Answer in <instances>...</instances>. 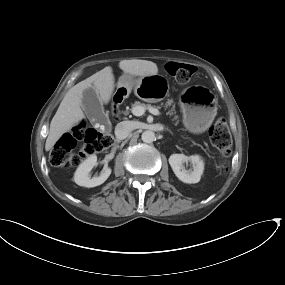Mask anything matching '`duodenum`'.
I'll return each mask as SVG.
<instances>
[{
  "mask_svg": "<svg viewBox=\"0 0 285 285\" xmlns=\"http://www.w3.org/2000/svg\"><path fill=\"white\" fill-rule=\"evenodd\" d=\"M120 105H121V99L118 97L117 94H114L112 102V114L114 115L115 118L119 117Z\"/></svg>",
  "mask_w": 285,
  "mask_h": 285,
  "instance_id": "1",
  "label": "duodenum"
}]
</instances>
